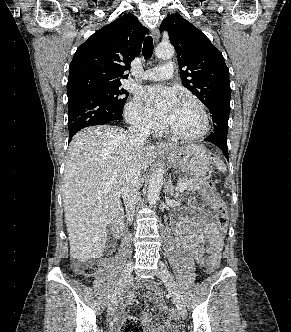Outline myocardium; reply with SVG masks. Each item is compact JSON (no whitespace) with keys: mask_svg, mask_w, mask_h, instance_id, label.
<instances>
[{"mask_svg":"<svg viewBox=\"0 0 291 332\" xmlns=\"http://www.w3.org/2000/svg\"><path fill=\"white\" fill-rule=\"evenodd\" d=\"M180 101L184 102H190L193 103L194 105L197 106L199 109L202 119H203V126L202 129L195 133V134H183L180 132H177L173 128H171L169 125H166V131L173 137L181 140H197L200 139L208 134L211 128V120H210V115L208 113V110L206 106L201 102L198 98L193 97V96H182Z\"/></svg>","mask_w":291,"mask_h":332,"instance_id":"obj_1","label":"myocardium"}]
</instances>
